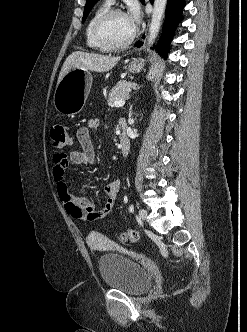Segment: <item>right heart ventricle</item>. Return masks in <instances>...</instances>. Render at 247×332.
<instances>
[{
  "instance_id": "e07e8e85",
  "label": "right heart ventricle",
  "mask_w": 247,
  "mask_h": 332,
  "mask_svg": "<svg viewBox=\"0 0 247 332\" xmlns=\"http://www.w3.org/2000/svg\"><path fill=\"white\" fill-rule=\"evenodd\" d=\"M110 8V4L107 2L102 3L101 5H99L94 12L91 14L86 27H85V36H86V43L88 45L89 48L93 49V50H97V51H105L106 49H104L101 45H99L97 43V41L95 40L94 36H93V25L95 23V21L97 20V18L103 14L105 11H107Z\"/></svg>"
}]
</instances>
